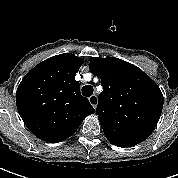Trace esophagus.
<instances>
[{
  "label": "esophagus",
  "instance_id": "esophagus-1",
  "mask_svg": "<svg viewBox=\"0 0 178 178\" xmlns=\"http://www.w3.org/2000/svg\"><path fill=\"white\" fill-rule=\"evenodd\" d=\"M89 102H90V104H91L94 108H96V107H97V104H98V98H97V96H96V95L90 96V97H89Z\"/></svg>",
  "mask_w": 178,
  "mask_h": 178
}]
</instances>
